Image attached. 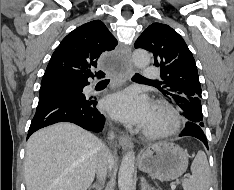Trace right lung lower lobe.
Returning a JSON list of instances; mask_svg holds the SVG:
<instances>
[{"instance_id":"right-lung-lower-lobe-1","label":"right lung lower lobe","mask_w":234,"mask_h":190,"mask_svg":"<svg viewBox=\"0 0 234 190\" xmlns=\"http://www.w3.org/2000/svg\"><path fill=\"white\" fill-rule=\"evenodd\" d=\"M97 76L101 78L104 74ZM89 77L93 75L64 78L62 82L40 94L27 139L35 131L58 122H72L84 129L101 132L105 117L98 112L95 98L82 93L83 88L89 85Z\"/></svg>"}]
</instances>
